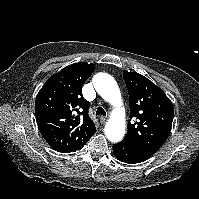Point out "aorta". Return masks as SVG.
Here are the masks:
<instances>
[{"label":"aorta","instance_id":"762f6f07","mask_svg":"<svg viewBox=\"0 0 199 199\" xmlns=\"http://www.w3.org/2000/svg\"><path fill=\"white\" fill-rule=\"evenodd\" d=\"M93 85L98 94L115 106L112 116L105 125V135L111 142L122 140L125 134L124 109L121 93L114 78L107 73H98L93 77Z\"/></svg>","mask_w":199,"mask_h":199}]
</instances>
